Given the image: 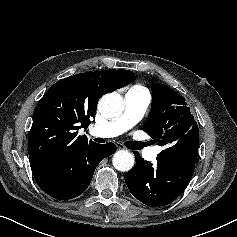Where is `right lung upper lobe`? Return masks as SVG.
<instances>
[{"label":"right lung upper lobe","mask_w":237,"mask_h":237,"mask_svg":"<svg viewBox=\"0 0 237 237\" xmlns=\"http://www.w3.org/2000/svg\"><path fill=\"white\" fill-rule=\"evenodd\" d=\"M133 77L129 70H103L70 76L51 86L33 115L28 141L32 170L89 143L85 135L77 136L78 129L89 125L104 93L125 86Z\"/></svg>","instance_id":"obj_1"}]
</instances>
